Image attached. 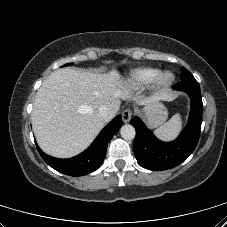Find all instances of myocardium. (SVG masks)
I'll use <instances>...</instances> for the list:
<instances>
[{"mask_svg": "<svg viewBox=\"0 0 227 227\" xmlns=\"http://www.w3.org/2000/svg\"><path fill=\"white\" fill-rule=\"evenodd\" d=\"M174 81V74L170 71L160 72L154 80V85L157 89H163L172 84Z\"/></svg>", "mask_w": 227, "mask_h": 227, "instance_id": "1", "label": "myocardium"}]
</instances>
